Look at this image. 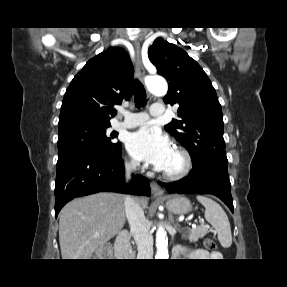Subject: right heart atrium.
<instances>
[{
    "instance_id": "right-heart-atrium-1",
    "label": "right heart atrium",
    "mask_w": 287,
    "mask_h": 287,
    "mask_svg": "<svg viewBox=\"0 0 287 287\" xmlns=\"http://www.w3.org/2000/svg\"><path fill=\"white\" fill-rule=\"evenodd\" d=\"M125 165L129 170H135L138 167V163L134 159L126 160Z\"/></svg>"
}]
</instances>
